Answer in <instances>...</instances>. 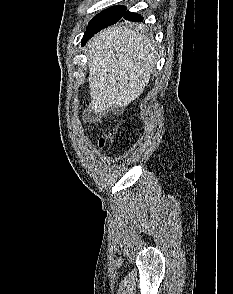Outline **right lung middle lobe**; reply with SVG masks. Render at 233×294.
Listing matches in <instances>:
<instances>
[{"label": "right lung middle lobe", "mask_w": 233, "mask_h": 294, "mask_svg": "<svg viewBox=\"0 0 233 294\" xmlns=\"http://www.w3.org/2000/svg\"><path fill=\"white\" fill-rule=\"evenodd\" d=\"M126 7L114 6L96 15L88 24L87 31L104 23H115L125 13Z\"/></svg>", "instance_id": "right-lung-middle-lobe-1"}]
</instances>
